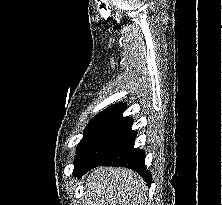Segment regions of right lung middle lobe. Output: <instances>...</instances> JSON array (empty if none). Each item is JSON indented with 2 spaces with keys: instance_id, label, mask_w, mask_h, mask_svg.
<instances>
[{
  "instance_id": "obj_1",
  "label": "right lung middle lobe",
  "mask_w": 222,
  "mask_h": 205,
  "mask_svg": "<svg viewBox=\"0 0 222 205\" xmlns=\"http://www.w3.org/2000/svg\"><path fill=\"white\" fill-rule=\"evenodd\" d=\"M106 114H107L106 112H102L101 114L96 115L92 119V121L88 124L87 128L85 129L84 136H83L82 140L80 141V143L78 144L76 156L81 151L82 147L84 146V143L86 142V140L88 139V137L90 136L92 131L101 122V120H103L105 118Z\"/></svg>"
}]
</instances>
